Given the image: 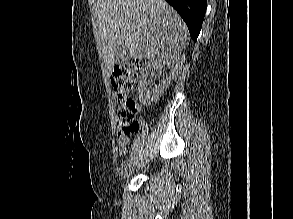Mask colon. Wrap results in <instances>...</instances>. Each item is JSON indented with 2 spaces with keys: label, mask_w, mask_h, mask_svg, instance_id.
<instances>
[{
  "label": "colon",
  "mask_w": 293,
  "mask_h": 219,
  "mask_svg": "<svg viewBox=\"0 0 293 219\" xmlns=\"http://www.w3.org/2000/svg\"><path fill=\"white\" fill-rule=\"evenodd\" d=\"M139 70L140 62L132 61L117 66L111 77L113 97L119 104L118 127L125 135L138 132L142 126V122L137 119L139 104L133 98Z\"/></svg>",
  "instance_id": "obj_1"
}]
</instances>
